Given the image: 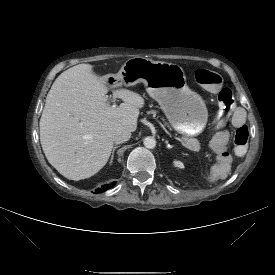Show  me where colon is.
I'll return each mask as SVG.
<instances>
[{
	"mask_svg": "<svg viewBox=\"0 0 275 275\" xmlns=\"http://www.w3.org/2000/svg\"><path fill=\"white\" fill-rule=\"evenodd\" d=\"M195 78L196 81L205 88L211 91L218 90L219 110L216 115V121L218 123H223L235 106V100L232 91L226 87L220 88L222 78L216 72H212L206 69H199L195 74ZM248 138L249 132L246 126L238 128L235 131L234 146L238 154H243L245 152Z\"/></svg>",
	"mask_w": 275,
	"mask_h": 275,
	"instance_id": "obj_1",
	"label": "colon"
}]
</instances>
